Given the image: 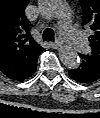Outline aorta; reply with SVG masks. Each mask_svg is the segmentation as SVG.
<instances>
[{
	"mask_svg": "<svg viewBox=\"0 0 100 118\" xmlns=\"http://www.w3.org/2000/svg\"><path fill=\"white\" fill-rule=\"evenodd\" d=\"M38 8L43 16L54 18L62 12L63 2L62 0H39ZM59 58L67 68L76 69L79 67L80 58L77 52L69 46H63L59 49Z\"/></svg>",
	"mask_w": 100,
	"mask_h": 118,
	"instance_id": "obj_1",
	"label": "aorta"
}]
</instances>
